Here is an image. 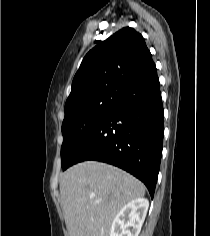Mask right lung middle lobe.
Returning <instances> with one entry per match:
<instances>
[{"label":"right lung middle lobe","mask_w":210,"mask_h":236,"mask_svg":"<svg viewBox=\"0 0 210 236\" xmlns=\"http://www.w3.org/2000/svg\"><path fill=\"white\" fill-rule=\"evenodd\" d=\"M121 93L120 91H113L95 95L65 111V118L62 123V167L70 161L88 133L116 104Z\"/></svg>","instance_id":"dd1d6c3e"}]
</instances>
